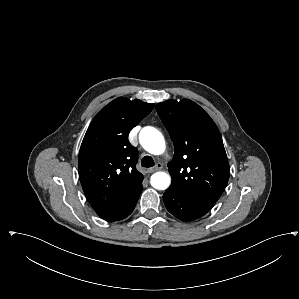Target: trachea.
<instances>
[{
  "mask_svg": "<svg viewBox=\"0 0 299 299\" xmlns=\"http://www.w3.org/2000/svg\"><path fill=\"white\" fill-rule=\"evenodd\" d=\"M155 165L154 160L150 156H144L141 160V166L143 167H153Z\"/></svg>",
  "mask_w": 299,
  "mask_h": 299,
  "instance_id": "obj_1",
  "label": "trachea"
}]
</instances>
